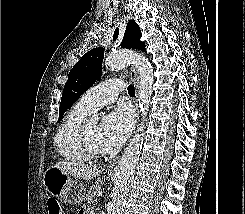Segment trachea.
I'll list each match as a JSON object with an SVG mask.
<instances>
[{"instance_id": "3493384b", "label": "trachea", "mask_w": 245, "mask_h": 214, "mask_svg": "<svg viewBox=\"0 0 245 214\" xmlns=\"http://www.w3.org/2000/svg\"><path fill=\"white\" fill-rule=\"evenodd\" d=\"M128 94H129L131 97H134V96H135V89H134V86H132V85H129V86H128Z\"/></svg>"}]
</instances>
